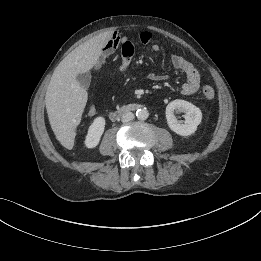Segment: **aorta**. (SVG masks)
Instances as JSON below:
<instances>
[{"mask_svg":"<svg viewBox=\"0 0 261 261\" xmlns=\"http://www.w3.org/2000/svg\"><path fill=\"white\" fill-rule=\"evenodd\" d=\"M136 116L139 120H146L149 116L148 110L146 108H140L136 111Z\"/></svg>","mask_w":261,"mask_h":261,"instance_id":"762f6f07","label":"aorta"}]
</instances>
